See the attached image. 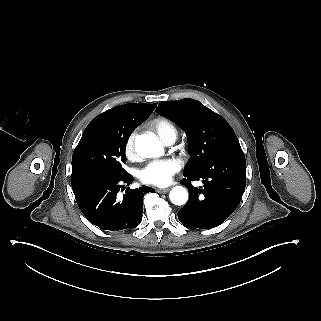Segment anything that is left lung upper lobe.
Wrapping results in <instances>:
<instances>
[{
	"mask_svg": "<svg viewBox=\"0 0 321 321\" xmlns=\"http://www.w3.org/2000/svg\"><path fill=\"white\" fill-rule=\"evenodd\" d=\"M156 112L186 133L191 159L184 173L196 172L220 154L242 150L227 121L194 99L162 102Z\"/></svg>",
	"mask_w": 321,
	"mask_h": 321,
	"instance_id": "left-lung-upper-lobe-1",
	"label": "left lung upper lobe"
}]
</instances>
